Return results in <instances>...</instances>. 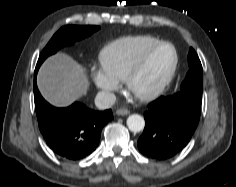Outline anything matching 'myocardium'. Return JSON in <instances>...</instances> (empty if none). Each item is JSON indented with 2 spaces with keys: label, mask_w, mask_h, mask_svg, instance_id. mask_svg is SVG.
<instances>
[{
  "label": "myocardium",
  "mask_w": 236,
  "mask_h": 187,
  "mask_svg": "<svg viewBox=\"0 0 236 187\" xmlns=\"http://www.w3.org/2000/svg\"><path fill=\"white\" fill-rule=\"evenodd\" d=\"M162 46H169L172 49L173 54H174L173 63L168 73L166 74L162 82L155 89L149 92H143V93L135 92L133 90L134 81L144 69L150 56ZM178 62H179L178 52L172 43L167 42V41L157 42L156 44L152 45L151 47H149L147 50L144 51V53L140 56V58L137 60L133 68L128 73L127 77L124 80L127 91L139 101L155 100L156 98L161 96L165 92V90L169 87L170 83L172 82L175 76V73L178 67Z\"/></svg>",
  "instance_id": "f54148a6"
}]
</instances>
